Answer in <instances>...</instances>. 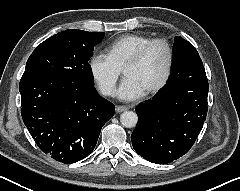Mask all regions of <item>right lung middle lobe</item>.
I'll list each match as a JSON object with an SVG mask.
<instances>
[{
  "label": "right lung middle lobe",
  "instance_id": "obj_1",
  "mask_svg": "<svg viewBox=\"0 0 240 191\" xmlns=\"http://www.w3.org/2000/svg\"><path fill=\"white\" fill-rule=\"evenodd\" d=\"M104 37L103 32L65 30L43 41L30 55L22 78L51 77L81 87H93L88 60L93 48Z\"/></svg>",
  "mask_w": 240,
  "mask_h": 191
}]
</instances>
